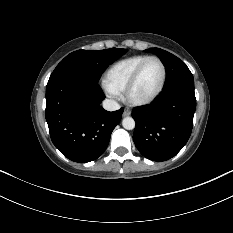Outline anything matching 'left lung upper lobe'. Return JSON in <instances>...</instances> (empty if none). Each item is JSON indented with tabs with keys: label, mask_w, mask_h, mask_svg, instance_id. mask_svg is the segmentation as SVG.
<instances>
[{
	"label": "left lung upper lobe",
	"mask_w": 233,
	"mask_h": 233,
	"mask_svg": "<svg viewBox=\"0 0 233 233\" xmlns=\"http://www.w3.org/2000/svg\"><path fill=\"white\" fill-rule=\"evenodd\" d=\"M145 51L155 53L166 67L167 79L164 88L177 84H194L192 73L178 57L159 48H150Z\"/></svg>",
	"instance_id": "5c2ea615"
}]
</instances>
